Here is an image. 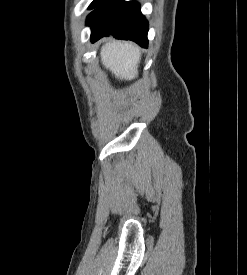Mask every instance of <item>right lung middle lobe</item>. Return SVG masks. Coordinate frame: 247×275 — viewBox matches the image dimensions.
<instances>
[{
	"label": "right lung middle lobe",
	"instance_id": "obj_1",
	"mask_svg": "<svg viewBox=\"0 0 247 275\" xmlns=\"http://www.w3.org/2000/svg\"><path fill=\"white\" fill-rule=\"evenodd\" d=\"M108 0H94L91 5L89 6V9H93L96 8L102 4H104L105 2H107Z\"/></svg>",
	"mask_w": 247,
	"mask_h": 275
}]
</instances>
